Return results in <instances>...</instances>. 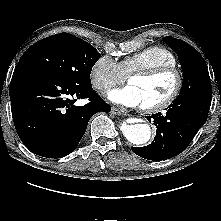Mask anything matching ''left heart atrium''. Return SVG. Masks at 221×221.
<instances>
[{"instance_id":"left-heart-atrium-1","label":"left heart atrium","mask_w":221,"mask_h":221,"mask_svg":"<svg viewBox=\"0 0 221 221\" xmlns=\"http://www.w3.org/2000/svg\"><path fill=\"white\" fill-rule=\"evenodd\" d=\"M107 97L117 104L129 107L142 106L141 97L137 89L131 84L119 89L110 90L107 93Z\"/></svg>"}]
</instances>
